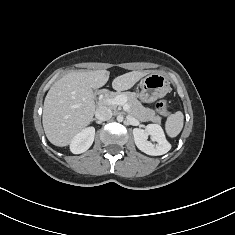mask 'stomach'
Listing matches in <instances>:
<instances>
[{
  "label": "stomach",
  "mask_w": 235,
  "mask_h": 235,
  "mask_svg": "<svg viewBox=\"0 0 235 235\" xmlns=\"http://www.w3.org/2000/svg\"><path fill=\"white\" fill-rule=\"evenodd\" d=\"M138 97L142 102L150 103L165 96L170 90V82L162 73H152L140 82Z\"/></svg>",
  "instance_id": "1"
}]
</instances>
